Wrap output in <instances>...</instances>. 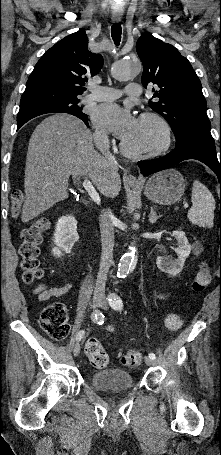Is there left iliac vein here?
<instances>
[{
  "label": "left iliac vein",
  "mask_w": 221,
  "mask_h": 455,
  "mask_svg": "<svg viewBox=\"0 0 221 455\" xmlns=\"http://www.w3.org/2000/svg\"><path fill=\"white\" fill-rule=\"evenodd\" d=\"M100 306H101L102 309L107 310V309H108V302H107V300L104 299V300L102 301V303L100 304ZM145 363H146L148 366H152V365H154L155 362H154V360L151 359L150 357H146V358H145Z\"/></svg>",
  "instance_id": "left-iliac-vein-1"
}]
</instances>
